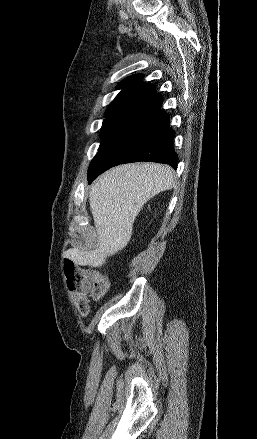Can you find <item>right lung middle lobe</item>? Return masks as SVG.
Segmentation results:
<instances>
[{
	"mask_svg": "<svg viewBox=\"0 0 257 439\" xmlns=\"http://www.w3.org/2000/svg\"><path fill=\"white\" fill-rule=\"evenodd\" d=\"M126 122L123 119H110L107 118L103 121L101 137L102 142L100 144L99 150L112 138V136L121 128V126Z\"/></svg>",
	"mask_w": 257,
	"mask_h": 439,
	"instance_id": "right-lung-middle-lobe-1",
	"label": "right lung middle lobe"
}]
</instances>
